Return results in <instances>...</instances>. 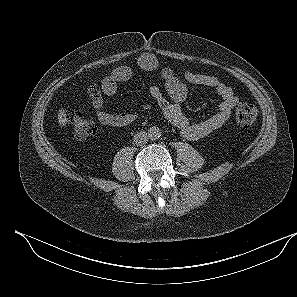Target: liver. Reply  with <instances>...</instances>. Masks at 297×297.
<instances>
[{
    "mask_svg": "<svg viewBox=\"0 0 297 297\" xmlns=\"http://www.w3.org/2000/svg\"><path fill=\"white\" fill-rule=\"evenodd\" d=\"M67 118H66V110L60 109L58 112V123L60 127H64L67 124Z\"/></svg>",
    "mask_w": 297,
    "mask_h": 297,
    "instance_id": "6515ba94",
    "label": "liver"
}]
</instances>
